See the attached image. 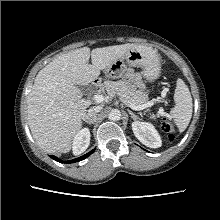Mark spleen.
Returning <instances> with one entry per match:
<instances>
[{"label": "spleen", "mask_w": 220, "mask_h": 220, "mask_svg": "<svg viewBox=\"0 0 220 220\" xmlns=\"http://www.w3.org/2000/svg\"><path fill=\"white\" fill-rule=\"evenodd\" d=\"M175 106L170 111V117L173 118L180 132H183L192 117V97L187 85L182 79L177 80L175 94Z\"/></svg>", "instance_id": "3e777b00"}]
</instances>
